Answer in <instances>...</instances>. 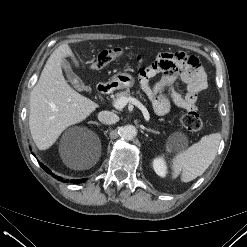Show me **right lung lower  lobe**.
<instances>
[{"label":"right lung lower lobe","instance_id":"98d812e1","mask_svg":"<svg viewBox=\"0 0 247 247\" xmlns=\"http://www.w3.org/2000/svg\"><path fill=\"white\" fill-rule=\"evenodd\" d=\"M40 166H41L47 173H49V174L51 173V171H50L46 166H44L42 163H40ZM52 176L55 177V178H57V179L60 180V181L68 182V180H63L61 177H58V176H56V175H54V174H52ZM86 180H87L86 178L81 179V180H74V179H72L71 182H73V183H82V182H85Z\"/></svg>","mask_w":247,"mask_h":247}]
</instances>
